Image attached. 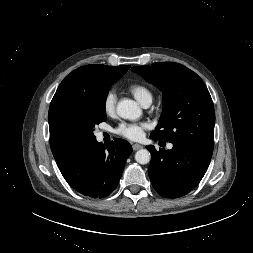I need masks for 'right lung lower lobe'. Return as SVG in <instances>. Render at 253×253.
I'll return each mask as SVG.
<instances>
[{
	"label": "right lung lower lobe",
	"mask_w": 253,
	"mask_h": 253,
	"mask_svg": "<svg viewBox=\"0 0 253 253\" xmlns=\"http://www.w3.org/2000/svg\"><path fill=\"white\" fill-rule=\"evenodd\" d=\"M131 145L115 139L108 147L96 139L81 143L55 158L67 183L77 192L91 198L108 196L117 187Z\"/></svg>",
	"instance_id": "98d812e1"
}]
</instances>
